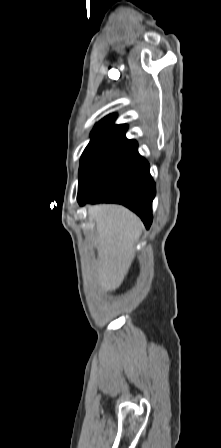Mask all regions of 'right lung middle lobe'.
<instances>
[{
	"mask_svg": "<svg viewBox=\"0 0 221 448\" xmlns=\"http://www.w3.org/2000/svg\"><path fill=\"white\" fill-rule=\"evenodd\" d=\"M108 147L86 148L81 156L78 191L84 186L96 167L112 151Z\"/></svg>",
	"mask_w": 221,
	"mask_h": 448,
	"instance_id": "obj_1",
	"label": "right lung middle lobe"
}]
</instances>
